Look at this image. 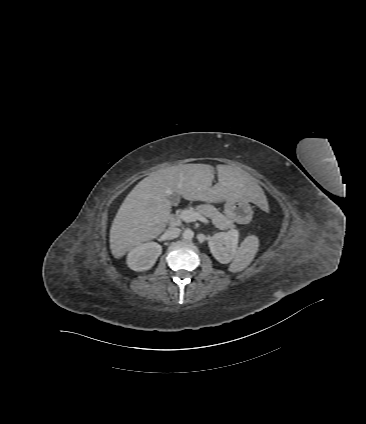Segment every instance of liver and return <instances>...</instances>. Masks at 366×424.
Returning a JSON list of instances; mask_svg holds the SVG:
<instances>
[{
  "label": "liver",
  "mask_w": 366,
  "mask_h": 424,
  "mask_svg": "<svg viewBox=\"0 0 366 424\" xmlns=\"http://www.w3.org/2000/svg\"><path fill=\"white\" fill-rule=\"evenodd\" d=\"M217 171L218 183L213 187L214 167L207 164L171 166L140 181L125 198L112 223V255L119 259L165 230L172 205L169 197L174 192L191 201L247 199L260 203L263 191L250 174L230 165H217Z\"/></svg>",
  "instance_id": "6515ba94"
}]
</instances>
